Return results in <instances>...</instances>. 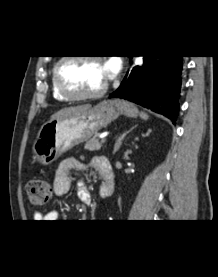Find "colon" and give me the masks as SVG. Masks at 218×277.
Segmentation results:
<instances>
[{
	"label": "colon",
	"mask_w": 218,
	"mask_h": 277,
	"mask_svg": "<svg viewBox=\"0 0 218 277\" xmlns=\"http://www.w3.org/2000/svg\"><path fill=\"white\" fill-rule=\"evenodd\" d=\"M26 191L29 203L37 207L46 205L52 195L50 183L39 178L30 179L27 182Z\"/></svg>",
	"instance_id": "colon-1"
}]
</instances>
